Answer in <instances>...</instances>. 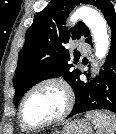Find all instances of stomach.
<instances>
[{
  "label": "stomach",
  "instance_id": "0dacf381",
  "mask_svg": "<svg viewBox=\"0 0 116 134\" xmlns=\"http://www.w3.org/2000/svg\"><path fill=\"white\" fill-rule=\"evenodd\" d=\"M56 134H92V126L87 120L75 119L65 123L62 130Z\"/></svg>",
  "mask_w": 116,
  "mask_h": 134
}]
</instances>
